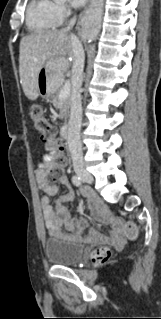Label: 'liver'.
<instances>
[{
    "label": "liver",
    "mask_w": 161,
    "mask_h": 319,
    "mask_svg": "<svg viewBox=\"0 0 161 319\" xmlns=\"http://www.w3.org/2000/svg\"><path fill=\"white\" fill-rule=\"evenodd\" d=\"M72 56L71 36L63 30H48L25 36L20 41L19 74L25 96L36 100L39 95L38 73L50 59H57L64 70Z\"/></svg>",
    "instance_id": "6515ba94"
}]
</instances>
